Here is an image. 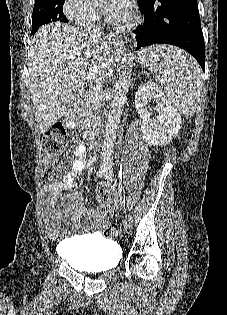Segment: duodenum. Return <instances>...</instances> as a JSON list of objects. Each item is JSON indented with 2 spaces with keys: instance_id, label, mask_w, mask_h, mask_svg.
<instances>
[{
  "instance_id": "410a0bca",
  "label": "duodenum",
  "mask_w": 227,
  "mask_h": 315,
  "mask_svg": "<svg viewBox=\"0 0 227 315\" xmlns=\"http://www.w3.org/2000/svg\"><path fill=\"white\" fill-rule=\"evenodd\" d=\"M67 122L69 125L73 126L75 123V115L73 113H69L67 114ZM86 138L88 140V142L94 144L96 142V135L95 134H87Z\"/></svg>"
}]
</instances>
